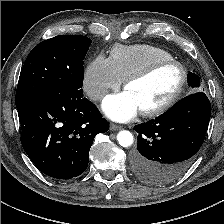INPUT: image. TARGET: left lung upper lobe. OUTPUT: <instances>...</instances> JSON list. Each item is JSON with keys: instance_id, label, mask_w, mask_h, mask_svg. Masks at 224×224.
Returning <instances> with one entry per match:
<instances>
[{"instance_id": "5c2ea615", "label": "left lung upper lobe", "mask_w": 224, "mask_h": 224, "mask_svg": "<svg viewBox=\"0 0 224 224\" xmlns=\"http://www.w3.org/2000/svg\"><path fill=\"white\" fill-rule=\"evenodd\" d=\"M188 85L192 88L194 92L199 90L200 78L198 75L189 72L188 73Z\"/></svg>"}]
</instances>
